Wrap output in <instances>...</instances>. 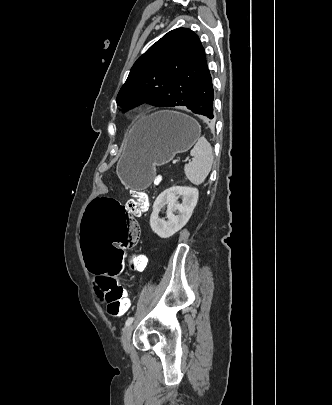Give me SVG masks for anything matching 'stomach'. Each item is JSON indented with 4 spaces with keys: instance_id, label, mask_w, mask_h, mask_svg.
I'll return each instance as SVG.
<instances>
[{
    "instance_id": "0dacf381",
    "label": "stomach",
    "mask_w": 332,
    "mask_h": 405,
    "mask_svg": "<svg viewBox=\"0 0 332 405\" xmlns=\"http://www.w3.org/2000/svg\"><path fill=\"white\" fill-rule=\"evenodd\" d=\"M200 135L198 122L181 112L160 111L142 117L130 131L117 163V176L125 187L143 190L151 184L156 166L189 150Z\"/></svg>"
}]
</instances>
